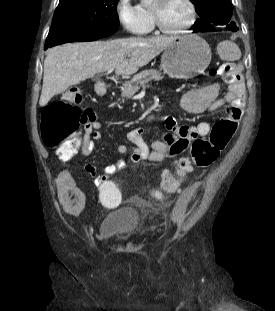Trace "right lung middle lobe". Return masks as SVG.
Listing matches in <instances>:
<instances>
[{"label": "right lung middle lobe", "mask_w": 275, "mask_h": 311, "mask_svg": "<svg viewBox=\"0 0 275 311\" xmlns=\"http://www.w3.org/2000/svg\"><path fill=\"white\" fill-rule=\"evenodd\" d=\"M119 0H60L44 49L68 42L93 41L115 33Z\"/></svg>", "instance_id": "dd1d6c3e"}]
</instances>
